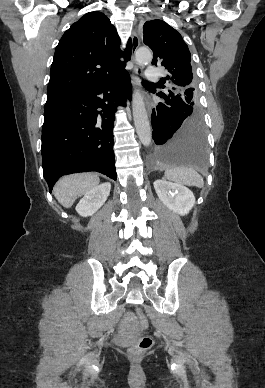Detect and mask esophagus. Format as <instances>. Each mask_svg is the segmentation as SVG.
Wrapping results in <instances>:
<instances>
[{
	"label": "esophagus",
	"mask_w": 265,
	"mask_h": 388,
	"mask_svg": "<svg viewBox=\"0 0 265 388\" xmlns=\"http://www.w3.org/2000/svg\"><path fill=\"white\" fill-rule=\"evenodd\" d=\"M139 44H140V40H139V37L137 36L136 32L133 31L132 33V59L134 60V55H135V52L137 51L138 47H139ZM134 73L135 74H140L142 73V67L140 65H135L134 67ZM133 82H137V80L133 77ZM147 109H148V114H149V117L151 116V108L149 107V105H147Z\"/></svg>",
	"instance_id": "esophagus-1"
}]
</instances>
